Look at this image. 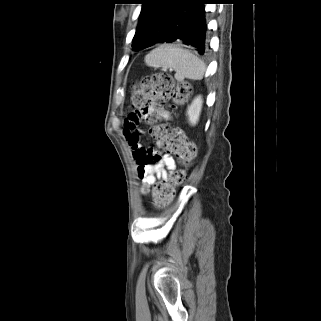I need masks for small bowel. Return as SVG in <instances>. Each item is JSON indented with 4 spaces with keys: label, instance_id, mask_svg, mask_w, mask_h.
I'll return each mask as SVG.
<instances>
[{
    "label": "small bowel",
    "instance_id": "1",
    "mask_svg": "<svg viewBox=\"0 0 321 321\" xmlns=\"http://www.w3.org/2000/svg\"><path fill=\"white\" fill-rule=\"evenodd\" d=\"M170 113L164 104L155 103L146 109L136 110L128 114L124 122V136L137 164V172L143 181L141 192L154 184L158 179L167 180L168 172L175 169V160L170 154L160 153V142L156 140L154 148H146L140 140L141 122H152L154 119L169 120ZM150 134L154 138L153 126Z\"/></svg>",
    "mask_w": 321,
    "mask_h": 321
}]
</instances>
